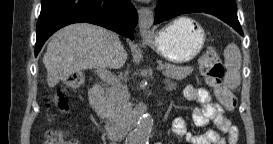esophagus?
I'll return each mask as SVG.
<instances>
[{"instance_id": "1", "label": "esophagus", "mask_w": 273, "mask_h": 144, "mask_svg": "<svg viewBox=\"0 0 273 144\" xmlns=\"http://www.w3.org/2000/svg\"><path fill=\"white\" fill-rule=\"evenodd\" d=\"M138 16H139V30L140 34L142 36H148L151 34V26L153 23V11L148 7H141L138 10Z\"/></svg>"}]
</instances>
